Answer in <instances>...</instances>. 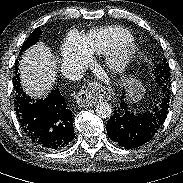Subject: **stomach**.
I'll return each mask as SVG.
<instances>
[{
  "label": "stomach",
  "instance_id": "stomach-1",
  "mask_svg": "<svg viewBox=\"0 0 183 183\" xmlns=\"http://www.w3.org/2000/svg\"><path fill=\"white\" fill-rule=\"evenodd\" d=\"M124 85L127 89V97L132 102L140 101L145 93L144 86L136 78L127 79L124 81Z\"/></svg>",
  "mask_w": 183,
  "mask_h": 183
}]
</instances>
